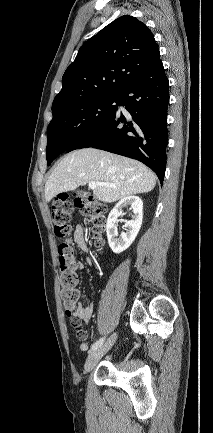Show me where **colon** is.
<instances>
[{
	"mask_svg": "<svg viewBox=\"0 0 213 433\" xmlns=\"http://www.w3.org/2000/svg\"><path fill=\"white\" fill-rule=\"evenodd\" d=\"M74 208L80 209L88 222L89 228L100 243V234L106 226V207L92 196H78L74 200L67 197L60 198L53 206L51 218L55 234L59 237L66 236L71 230V221ZM60 265V297L66 312L71 315L77 308L79 292L76 289L77 277L73 265V249L69 242L59 245ZM71 325L81 338L83 328L77 319H73Z\"/></svg>",
	"mask_w": 213,
	"mask_h": 433,
	"instance_id": "5ec220e1",
	"label": "colon"
}]
</instances>
